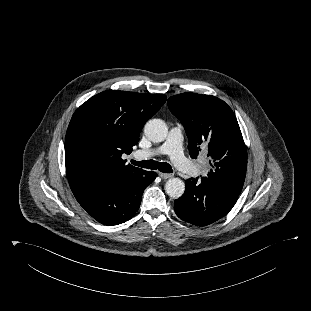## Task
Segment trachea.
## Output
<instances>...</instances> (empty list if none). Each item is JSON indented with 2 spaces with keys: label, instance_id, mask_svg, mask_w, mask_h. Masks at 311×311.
I'll return each mask as SVG.
<instances>
[{
  "label": "trachea",
  "instance_id": "3493384b",
  "mask_svg": "<svg viewBox=\"0 0 311 311\" xmlns=\"http://www.w3.org/2000/svg\"><path fill=\"white\" fill-rule=\"evenodd\" d=\"M131 163L135 166L146 168V169H152V170L158 169L159 171L163 173L173 172L171 165L168 164L167 162H157L154 160H143V161L131 160Z\"/></svg>",
  "mask_w": 311,
  "mask_h": 311
}]
</instances>
